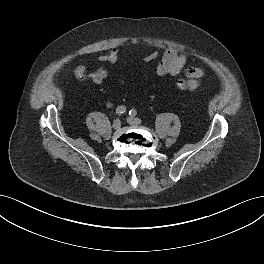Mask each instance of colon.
Segmentation results:
<instances>
[{
  "label": "colon",
  "mask_w": 264,
  "mask_h": 264,
  "mask_svg": "<svg viewBox=\"0 0 264 264\" xmlns=\"http://www.w3.org/2000/svg\"><path fill=\"white\" fill-rule=\"evenodd\" d=\"M119 52V47H113L110 51L102 55L101 59L102 61L107 62L109 64H114L118 60ZM158 56L159 52L157 50H152L145 55L144 61L153 62L158 58ZM176 86L179 90L182 91H191L196 88L195 85L189 79H179L176 82Z\"/></svg>",
  "instance_id": "colon-1"
}]
</instances>
